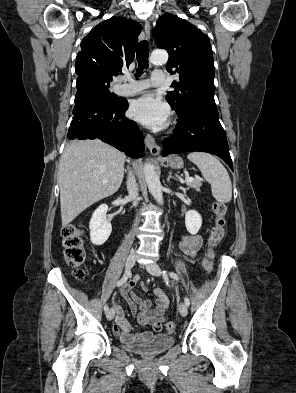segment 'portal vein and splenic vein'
<instances>
[{"instance_id": "portal-vein-and-splenic-vein-1", "label": "portal vein and splenic vein", "mask_w": 296, "mask_h": 393, "mask_svg": "<svg viewBox=\"0 0 296 393\" xmlns=\"http://www.w3.org/2000/svg\"><path fill=\"white\" fill-rule=\"evenodd\" d=\"M185 180H186V181H194L195 179L192 178V177L187 176V177L185 178ZM106 182H107V180H104V183H106Z\"/></svg>"}]
</instances>
